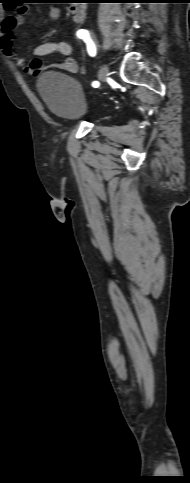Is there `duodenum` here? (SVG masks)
<instances>
[{
    "label": "duodenum",
    "instance_id": "1",
    "mask_svg": "<svg viewBox=\"0 0 190 483\" xmlns=\"http://www.w3.org/2000/svg\"><path fill=\"white\" fill-rule=\"evenodd\" d=\"M85 1L84 0H75L73 2V6L71 8L72 19L74 22H79L83 19L85 13Z\"/></svg>",
    "mask_w": 190,
    "mask_h": 483
}]
</instances>
